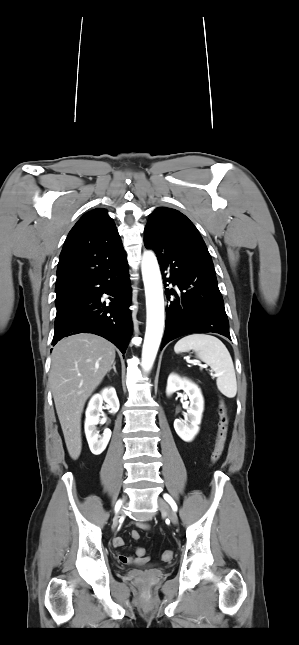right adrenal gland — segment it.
Listing matches in <instances>:
<instances>
[{
  "label": "right adrenal gland",
  "mask_w": 299,
  "mask_h": 645,
  "mask_svg": "<svg viewBox=\"0 0 299 645\" xmlns=\"http://www.w3.org/2000/svg\"><path fill=\"white\" fill-rule=\"evenodd\" d=\"M115 365H116V362H114V363H113V366H112V368H111V369H113V370H114V372H115V373H117V370H116Z\"/></svg>",
  "instance_id": "right-adrenal-gland-1"
}]
</instances>
